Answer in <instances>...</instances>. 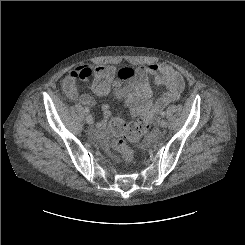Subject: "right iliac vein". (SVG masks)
<instances>
[{
  "instance_id": "1",
  "label": "right iliac vein",
  "mask_w": 245,
  "mask_h": 245,
  "mask_svg": "<svg viewBox=\"0 0 245 245\" xmlns=\"http://www.w3.org/2000/svg\"><path fill=\"white\" fill-rule=\"evenodd\" d=\"M86 122L91 125L93 123V117L91 115H87Z\"/></svg>"
}]
</instances>
